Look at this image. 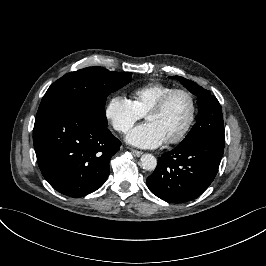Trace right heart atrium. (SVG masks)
<instances>
[{
    "label": "right heart atrium",
    "mask_w": 266,
    "mask_h": 266,
    "mask_svg": "<svg viewBox=\"0 0 266 266\" xmlns=\"http://www.w3.org/2000/svg\"><path fill=\"white\" fill-rule=\"evenodd\" d=\"M104 115L112 127L120 133H127L142 118L132 100L118 94L107 99Z\"/></svg>",
    "instance_id": "d8ad5b80"
}]
</instances>
